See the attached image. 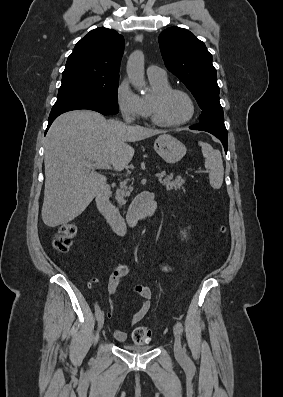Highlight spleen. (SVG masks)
<instances>
[{"instance_id":"1","label":"spleen","mask_w":283,"mask_h":397,"mask_svg":"<svg viewBox=\"0 0 283 397\" xmlns=\"http://www.w3.org/2000/svg\"><path fill=\"white\" fill-rule=\"evenodd\" d=\"M198 144L201 146L202 154L205 158V168L209 174L210 185L214 189H219L222 186L224 176L221 153L206 142L199 141Z\"/></svg>"}]
</instances>
